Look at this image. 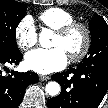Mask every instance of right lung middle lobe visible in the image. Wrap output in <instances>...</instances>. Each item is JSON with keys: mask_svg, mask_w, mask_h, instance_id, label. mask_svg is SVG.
I'll return each mask as SVG.
<instances>
[{"mask_svg": "<svg viewBox=\"0 0 108 108\" xmlns=\"http://www.w3.org/2000/svg\"><path fill=\"white\" fill-rule=\"evenodd\" d=\"M26 5L14 0L0 1V49L18 50L15 32L17 25L25 16Z\"/></svg>", "mask_w": 108, "mask_h": 108, "instance_id": "1", "label": "right lung middle lobe"}]
</instances>
